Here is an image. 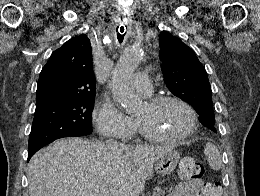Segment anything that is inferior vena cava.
Returning <instances> with one entry per match:
<instances>
[{
	"mask_svg": "<svg viewBox=\"0 0 260 196\" xmlns=\"http://www.w3.org/2000/svg\"><path fill=\"white\" fill-rule=\"evenodd\" d=\"M105 144L107 148H110V150H116V152H121L124 148V146H121L118 142H113V140H106Z\"/></svg>",
	"mask_w": 260,
	"mask_h": 196,
	"instance_id": "obj_1",
	"label": "inferior vena cava"
}]
</instances>
